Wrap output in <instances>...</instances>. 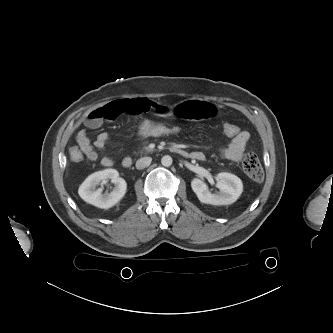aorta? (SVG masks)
I'll use <instances>...</instances> for the list:
<instances>
[{
    "label": "aorta",
    "mask_w": 333,
    "mask_h": 333,
    "mask_svg": "<svg viewBox=\"0 0 333 333\" xmlns=\"http://www.w3.org/2000/svg\"><path fill=\"white\" fill-rule=\"evenodd\" d=\"M172 158L169 155H165L161 159V163L165 167H170L172 165Z\"/></svg>",
    "instance_id": "aorta-1"
}]
</instances>
